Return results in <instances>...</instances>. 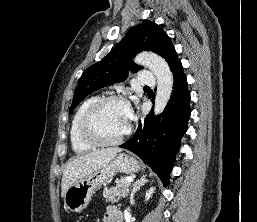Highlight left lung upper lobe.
Instances as JSON below:
<instances>
[{"label":"left lung upper lobe","mask_w":257,"mask_h":222,"mask_svg":"<svg viewBox=\"0 0 257 222\" xmlns=\"http://www.w3.org/2000/svg\"><path fill=\"white\" fill-rule=\"evenodd\" d=\"M143 50L159 54L169 66L178 59L166 32L156 23L145 20L132 27L104 59L83 72L69 113L92 92L123 81L127 78L128 71L137 72L141 67L133 62V57Z\"/></svg>","instance_id":"obj_1"}]
</instances>
